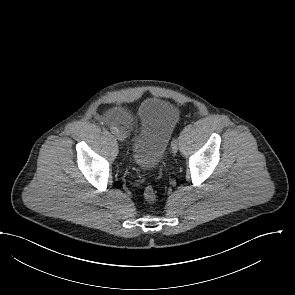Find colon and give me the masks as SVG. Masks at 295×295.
I'll list each match as a JSON object with an SVG mask.
<instances>
[{
    "label": "colon",
    "instance_id": "1",
    "mask_svg": "<svg viewBox=\"0 0 295 295\" xmlns=\"http://www.w3.org/2000/svg\"><path fill=\"white\" fill-rule=\"evenodd\" d=\"M143 195L148 202H154L157 198L156 192L151 186H147L144 189Z\"/></svg>",
    "mask_w": 295,
    "mask_h": 295
}]
</instances>
